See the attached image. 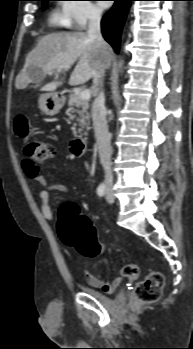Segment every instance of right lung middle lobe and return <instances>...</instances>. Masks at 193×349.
<instances>
[{"instance_id": "obj_1", "label": "right lung middle lobe", "mask_w": 193, "mask_h": 349, "mask_svg": "<svg viewBox=\"0 0 193 349\" xmlns=\"http://www.w3.org/2000/svg\"><path fill=\"white\" fill-rule=\"evenodd\" d=\"M40 1H42L43 8H46L47 3H48L49 0H40Z\"/></svg>"}]
</instances>
